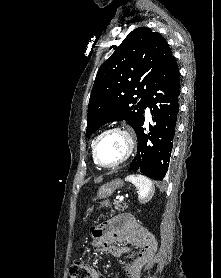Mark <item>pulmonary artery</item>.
<instances>
[{
    "label": "pulmonary artery",
    "mask_w": 221,
    "mask_h": 278,
    "mask_svg": "<svg viewBox=\"0 0 221 278\" xmlns=\"http://www.w3.org/2000/svg\"><path fill=\"white\" fill-rule=\"evenodd\" d=\"M149 116H150L149 108L147 107V108H146V117L149 118Z\"/></svg>",
    "instance_id": "obj_1"
}]
</instances>
